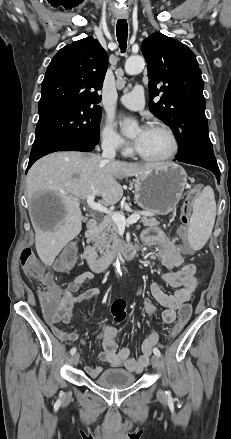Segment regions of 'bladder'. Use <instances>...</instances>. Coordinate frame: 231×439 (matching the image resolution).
<instances>
[{"label":"bladder","mask_w":231,"mask_h":439,"mask_svg":"<svg viewBox=\"0 0 231 439\" xmlns=\"http://www.w3.org/2000/svg\"><path fill=\"white\" fill-rule=\"evenodd\" d=\"M94 382L103 388H124L133 385L136 382V376L123 369H107L98 375Z\"/></svg>","instance_id":"bladder-1"}]
</instances>
